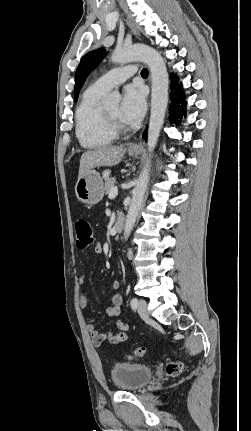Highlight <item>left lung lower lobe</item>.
<instances>
[{
  "instance_id": "1",
  "label": "left lung lower lobe",
  "mask_w": 251,
  "mask_h": 431,
  "mask_svg": "<svg viewBox=\"0 0 251 431\" xmlns=\"http://www.w3.org/2000/svg\"><path fill=\"white\" fill-rule=\"evenodd\" d=\"M170 89H171V94H170L171 105L169 109V114H170L171 122L177 125L181 122V120H178V119H182L183 115L185 116L186 102H185V96L183 93L182 85L179 84L178 78L174 73L171 74ZM143 138L147 139L146 130L143 134Z\"/></svg>"
}]
</instances>
